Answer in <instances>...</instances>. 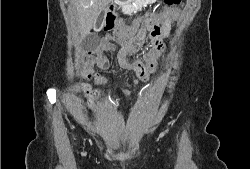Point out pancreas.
I'll use <instances>...</instances> for the list:
<instances>
[{"label":"pancreas","mask_w":250,"mask_h":169,"mask_svg":"<svg viewBox=\"0 0 250 169\" xmlns=\"http://www.w3.org/2000/svg\"><path fill=\"white\" fill-rule=\"evenodd\" d=\"M124 2H126V4H129V8H131V10H136L135 6L131 4V0H124Z\"/></svg>","instance_id":"cf45deb5"}]
</instances>
